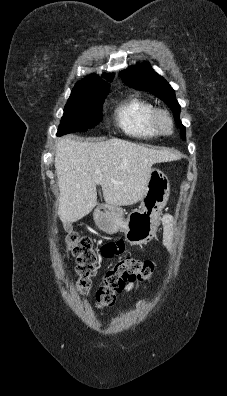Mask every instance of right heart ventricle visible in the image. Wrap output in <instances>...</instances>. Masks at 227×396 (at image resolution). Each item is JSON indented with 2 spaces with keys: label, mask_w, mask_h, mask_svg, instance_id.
Returning <instances> with one entry per match:
<instances>
[{
  "label": "right heart ventricle",
  "mask_w": 227,
  "mask_h": 396,
  "mask_svg": "<svg viewBox=\"0 0 227 396\" xmlns=\"http://www.w3.org/2000/svg\"><path fill=\"white\" fill-rule=\"evenodd\" d=\"M154 106L148 100L138 96L129 95L115 109V119L118 126L128 135L150 139L160 134L151 122Z\"/></svg>",
  "instance_id": "obj_1"
}]
</instances>
